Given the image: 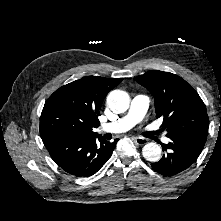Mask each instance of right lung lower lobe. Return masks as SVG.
I'll return each mask as SVG.
<instances>
[{"instance_id": "1", "label": "right lung lower lobe", "mask_w": 221, "mask_h": 221, "mask_svg": "<svg viewBox=\"0 0 221 221\" xmlns=\"http://www.w3.org/2000/svg\"><path fill=\"white\" fill-rule=\"evenodd\" d=\"M52 159L64 171L77 177L95 174L110 158L118 139L106 141L101 135L58 134L42 138Z\"/></svg>"}]
</instances>
